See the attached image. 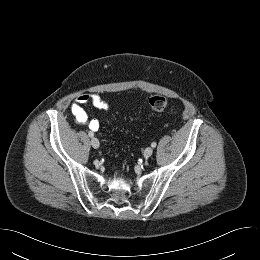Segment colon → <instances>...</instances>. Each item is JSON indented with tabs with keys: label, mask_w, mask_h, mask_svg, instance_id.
Wrapping results in <instances>:
<instances>
[{
	"label": "colon",
	"mask_w": 260,
	"mask_h": 260,
	"mask_svg": "<svg viewBox=\"0 0 260 260\" xmlns=\"http://www.w3.org/2000/svg\"><path fill=\"white\" fill-rule=\"evenodd\" d=\"M168 99L161 95L152 96L149 99V106L154 112H162L169 107Z\"/></svg>",
	"instance_id": "5ec220e1"
}]
</instances>
